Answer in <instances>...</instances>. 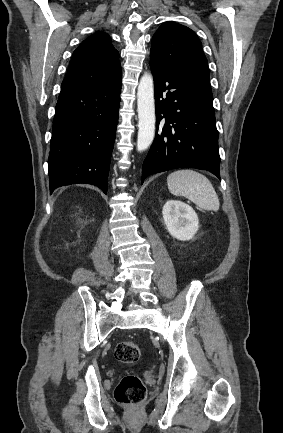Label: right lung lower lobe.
<instances>
[{
    "mask_svg": "<svg viewBox=\"0 0 283 433\" xmlns=\"http://www.w3.org/2000/svg\"><path fill=\"white\" fill-rule=\"evenodd\" d=\"M120 91L121 77L59 95L48 160L50 193L60 186L87 183L106 194Z\"/></svg>",
    "mask_w": 283,
    "mask_h": 433,
    "instance_id": "obj_1",
    "label": "right lung lower lobe"
}]
</instances>
